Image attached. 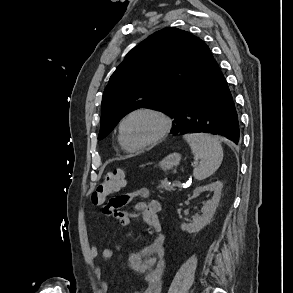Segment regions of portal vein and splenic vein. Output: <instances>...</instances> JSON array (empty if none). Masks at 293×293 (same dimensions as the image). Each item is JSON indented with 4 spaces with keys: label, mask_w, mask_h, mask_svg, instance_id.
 <instances>
[{
    "label": "portal vein and splenic vein",
    "mask_w": 293,
    "mask_h": 293,
    "mask_svg": "<svg viewBox=\"0 0 293 293\" xmlns=\"http://www.w3.org/2000/svg\"><path fill=\"white\" fill-rule=\"evenodd\" d=\"M176 185H177V186H180V185H181V182H177Z\"/></svg>",
    "instance_id": "obj_1"
}]
</instances>
